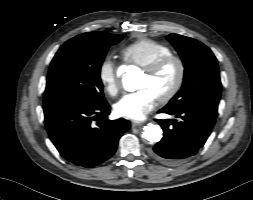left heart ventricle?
Returning a JSON list of instances; mask_svg holds the SVG:
<instances>
[{"mask_svg": "<svg viewBox=\"0 0 253 200\" xmlns=\"http://www.w3.org/2000/svg\"><path fill=\"white\" fill-rule=\"evenodd\" d=\"M177 73L175 64H170L156 75H148L145 72L140 76L137 87L147 88L158 98L165 93L174 83Z\"/></svg>", "mask_w": 253, "mask_h": 200, "instance_id": "left-heart-ventricle-1", "label": "left heart ventricle"}]
</instances>
